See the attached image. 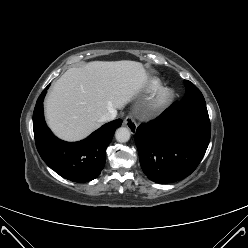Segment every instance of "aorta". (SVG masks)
I'll use <instances>...</instances> for the list:
<instances>
[{
    "label": "aorta",
    "mask_w": 248,
    "mask_h": 248,
    "mask_svg": "<svg viewBox=\"0 0 248 248\" xmlns=\"http://www.w3.org/2000/svg\"><path fill=\"white\" fill-rule=\"evenodd\" d=\"M115 138L120 143L128 142L130 139V131L126 127H120L115 132Z\"/></svg>",
    "instance_id": "aorta-1"
}]
</instances>
